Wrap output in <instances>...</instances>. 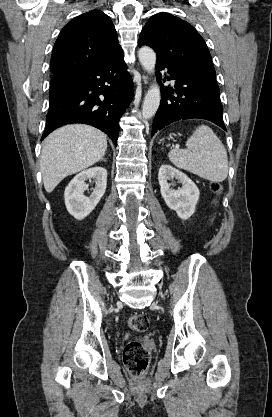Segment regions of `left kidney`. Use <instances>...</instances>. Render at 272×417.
Returning <instances> with one entry per match:
<instances>
[{"mask_svg":"<svg viewBox=\"0 0 272 417\" xmlns=\"http://www.w3.org/2000/svg\"><path fill=\"white\" fill-rule=\"evenodd\" d=\"M172 178L177 179L182 187L174 190L168 181ZM158 180L160 192L166 205L174 210L178 217L186 220L195 212V207L199 199V189L186 174L170 165H162L159 169Z\"/></svg>","mask_w":272,"mask_h":417,"instance_id":"5707ae66","label":"left kidney"}]
</instances>
